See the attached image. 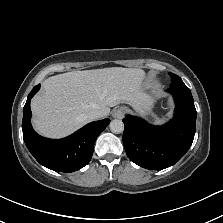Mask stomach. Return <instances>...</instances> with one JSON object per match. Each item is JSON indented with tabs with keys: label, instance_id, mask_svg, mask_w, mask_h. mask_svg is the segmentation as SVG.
Masks as SVG:
<instances>
[{
	"label": "stomach",
	"instance_id": "obj_1",
	"mask_svg": "<svg viewBox=\"0 0 223 223\" xmlns=\"http://www.w3.org/2000/svg\"><path fill=\"white\" fill-rule=\"evenodd\" d=\"M153 108V98L149 97L146 101L141 103L135 110L142 116H145L151 112ZM126 112H130V110L126 107Z\"/></svg>",
	"mask_w": 223,
	"mask_h": 223
}]
</instances>
